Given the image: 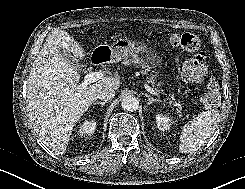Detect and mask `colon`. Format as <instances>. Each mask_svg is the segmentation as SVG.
Here are the masks:
<instances>
[{
  "instance_id": "5ec220e1",
  "label": "colon",
  "mask_w": 245,
  "mask_h": 189,
  "mask_svg": "<svg viewBox=\"0 0 245 189\" xmlns=\"http://www.w3.org/2000/svg\"><path fill=\"white\" fill-rule=\"evenodd\" d=\"M169 42L173 47L180 48L186 52L197 53L195 58L187 60L182 69V77L187 82H200L207 73L206 65L207 55L202 52L201 43L198 37L191 33L172 34ZM202 106L205 108H216L221 103L218 84L214 78H210L207 84V91L200 99Z\"/></svg>"
}]
</instances>
